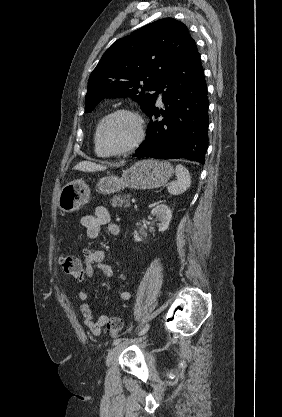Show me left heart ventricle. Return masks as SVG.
Segmentation results:
<instances>
[{"label":"left heart ventricle","mask_w":282,"mask_h":417,"mask_svg":"<svg viewBox=\"0 0 282 417\" xmlns=\"http://www.w3.org/2000/svg\"><path fill=\"white\" fill-rule=\"evenodd\" d=\"M136 135V125L128 117L114 119L108 127L106 141L111 147L129 143Z\"/></svg>","instance_id":"1"}]
</instances>
